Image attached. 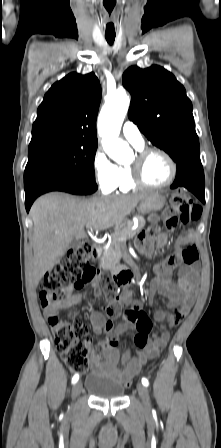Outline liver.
Masks as SVG:
<instances>
[{"instance_id": "1", "label": "liver", "mask_w": 221, "mask_h": 448, "mask_svg": "<svg viewBox=\"0 0 221 448\" xmlns=\"http://www.w3.org/2000/svg\"><path fill=\"white\" fill-rule=\"evenodd\" d=\"M149 193L78 199L64 193H48L31 207L33 220V279L37 285L65 254L70 243L87 237L85 229L117 226Z\"/></svg>"}]
</instances>
